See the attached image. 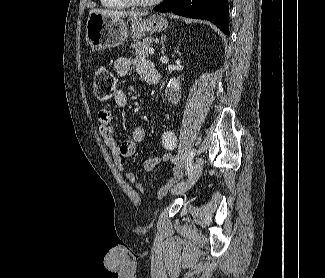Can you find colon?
<instances>
[{"mask_svg": "<svg viewBox=\"0 0 325 278\" xmlns=\"http://www.w3.org/2000/svg\"><path fill=\"white\" fill-rule=\"evenodd\" d=\"M93 92L97 100L107 101L116 93V78L107 68L97 69L93 80ZM164 149L171 151L176 148L177 139L174 134L164 136L160 139Z\"/></svg>", "mask_w": 325, "mask_h": 278, "instance_id": "5ec220e1", "label": "colon"}]
</instances>
